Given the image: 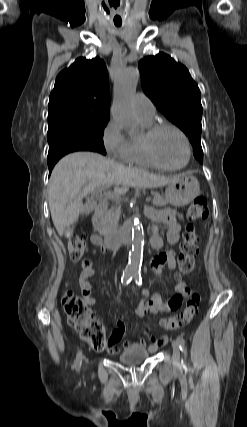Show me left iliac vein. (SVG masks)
<instances>
[{
  "label": "left iliac vein",
  "mask_w": 247,
  "mask_h": 427,
  "mask_svg": "<svg viewBox=\"0 0 247 427\" xmlns=\"http://www.w3.org/2000/svg\"><path fill=\"white\" fill-rule=\"evenodd\" d=\"M173 355H172V364L174 368H179L180 366V351H179V341H172Z\"/></svg>",
  "instance_id": "4c4485c4"
}]
</instances>
